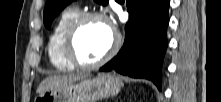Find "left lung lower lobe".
Here are the masks:
<instances>
[{
    "label": "left lung lower lobe",
    "instance_id": "1",
    "mask_svg": "<svg viewBox=\"0 0 221 102\" xmlns=\"http://www.w3.org/2000/svg\"><path fill=\"white\" fill-rule=\"evenodd\" d=\"M169 0H127L130 25L124 46L101 71L151 80L161 89V67L167 47Z\"/></svg>",
    "mask_w": 221,
    "mask_h": 102
}]
</instances>
